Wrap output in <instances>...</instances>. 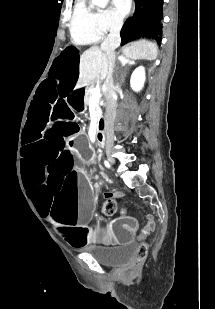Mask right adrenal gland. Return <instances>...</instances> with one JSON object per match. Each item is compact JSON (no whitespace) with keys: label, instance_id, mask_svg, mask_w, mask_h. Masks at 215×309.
I'll use <instances>...</instances> for the list:
<instances>
[{"label":"right adrenal gland","instance_id":"right-adrenal-gland-1","mask_svg":"<svg viewBox=\"0 0 215 309\" xmlns=\"http://www.w3.org/2000/svg\"><path fill=\"white\" fill-rule=\"evenodd\" d=\"M119 60L122 62V66H124V64H135L134 60H130L126 54H120Z\"/></svg>","mask_w":215,"mask_h":309}]
</instances>
